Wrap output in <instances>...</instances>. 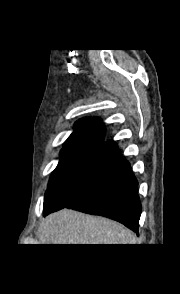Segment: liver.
<instances>
[{
  "label": "liver",
  "instance_id": "1",
  "mask_svg": "<svg viewBox=\"0 0 180 294\" xmlns=\"http://www.w3.org/2000/svg\"><path fill=\"white\" fill-rule=\"evenodd\" d=\"M42 244H135L136 235L103 217L63 209L46 217L39 228Z\"/></svg>",
  "mask_w": 180,
  "mask_h": 294
}]
</instances>
